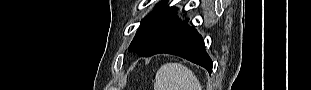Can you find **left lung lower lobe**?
Here are the masks:
<instances>
[{"label":"left lung lower lobe","mask_w":311,"mask_h":90,"mask_svg":"<svg viewBox=\"0 0 311 90\" xmlns=\"http://www.w3.org/2000/svg\"><path fill=\"white\" fill-rule=\"evenodd\" d=\"M167 53L183 57L212 72L213 63L206 53L202 37L188 25V20L180 21L151 51L148 57Z\"/></svg>","instance_id":"left-lung-lower-lobe-1"}]
</instances>
